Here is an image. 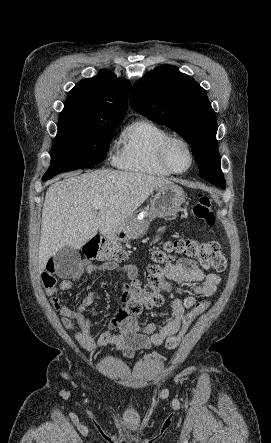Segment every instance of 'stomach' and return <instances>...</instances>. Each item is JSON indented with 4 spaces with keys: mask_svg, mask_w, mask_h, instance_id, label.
Wrapping results in <instances>:
<instances>
[{
    "mask_svg": "<svg viewBox=\"0 0 271 443\" xmlns=\"http://www.w3.org/2000/svg\"><path fill=\"white\" fill-rule=\"evenodd\" d=\"M184 192L179 186H174V184H168L164 188H158V192L151 200L150 212L153 216H158V218H164V216H176L177 212L181 210V206L184 202ZM148 216V212H140L138 220L130 216L127 218L124 225H122L120 231H113L109 233L112 239L115 241H126V239H137V237H142L144 235L149 222H140Z\"/></svg>",
    "mask_w": 271,
    "mask_h": 443,
    "instance_id": "stomach-1",
    "label": "stomach"
}]
</instances>
